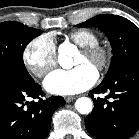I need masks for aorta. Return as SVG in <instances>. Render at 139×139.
<instances>
[{"label": "aorta", "mask_w": 139, "mask_h": 139, "mask_svg": "<svg viewBox=\"0 0 139 139\" xmlns=\"http://www.w3.org/2000/svg\"><path fill=\"white\" fill-rule=\"evenodd\" d=\"M58 62L64 69L73 67V56L76 53V47L70 43H63L58 49ZM75 108L80 114H89L93 110V102L88 97H80L75 102Z\"/></svg>", "instance_id": "1"}]
</instances>
